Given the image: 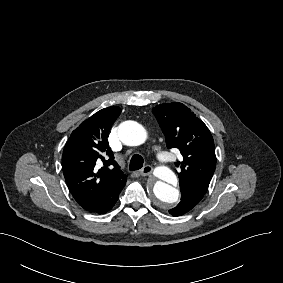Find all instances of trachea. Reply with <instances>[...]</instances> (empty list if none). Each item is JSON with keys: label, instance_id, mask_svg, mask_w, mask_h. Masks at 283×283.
Masks as SVG:
<instances>
[{"label": "trachea", "instance_id": "3493384b", "mask_svg": "<svg viewBox=\"0 0 283 283\" xmlns=\"http://www.w3.org/2000/svg\"><path fill=\"white\" fill-rule=\"evenodd\" d=\"M144 159L141 155L135 154L132 156L129 163V170H139L143 167Z\"/></svg>", "mask_w": 283, "mask_h": 283}]
</instances>
